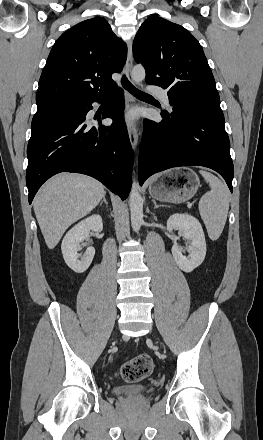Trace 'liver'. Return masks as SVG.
Wrapping results in <instances>:
<instances>
[{
  "label": "liver",
  "mask_w": 263,
  "mask_h": 440,
  "mask_svg": "<svg viewBox=\"0 0 263 440\" xmlns=\"http://www.w3.org/2000/svg\"><path fill=\"white\" fill-rule=\"evenodd\" d=\"M104 196L103 184L86 175L61 173L51 178L33 203L47 247L53 249L66 229L90 213Z\"/></svg>",
  "instance_id": "1"
}]
</instances>
